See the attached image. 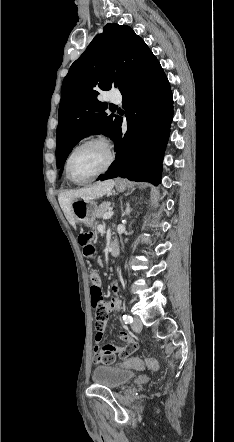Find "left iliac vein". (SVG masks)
Here are the masks:
<instances>
[{"label": "left iliac vein", "instance_id": "1", "mask_svg": "<svg viewBox=\"0 0 234 442\" xmlns=\"http://www.w3.org/2000/svg\"><path fill=\"white\" fill-rule=\"evenodd\" d=\"M131 327L134 331L141 330L142 329V322H141L140 318L134 317Z\"/></svg>", "mask_w": 234, "mask_h": 442}]
</instances>
